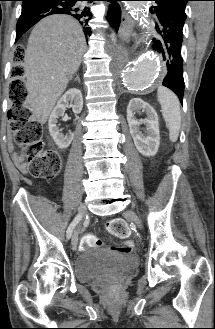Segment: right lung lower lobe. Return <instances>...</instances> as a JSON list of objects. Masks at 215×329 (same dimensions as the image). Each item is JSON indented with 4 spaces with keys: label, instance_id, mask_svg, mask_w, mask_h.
I'll return each instance as SVG.
<instances>
[{
    "label": "right lung lower lobe",
    "instance_id": "obj_1",
    "mask_svg": "<svg viewBox=\"0 0 215 329\" xmlns=\"http://www.w3.org/2000/svg\"><path fill=\"white\" fill-rule=\"evenodd\" d=\"M22 12L17 22L16 41L40 19L52 14H68L76 18L83 26L86 36L92 33L88 25L92 14L83 1L94 0H21ZM112 4L106 15V19L111 26L118 30L121 20V9L118 0H105Z\"/></svg>",
    "mask_w": 215,
    "mask_h": 329
}]
</instances>
